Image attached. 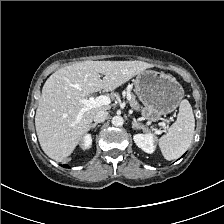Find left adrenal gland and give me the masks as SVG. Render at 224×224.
<instances>
[{
	"label": "left adrenal gland",
	"instance_id": "a2214340",
	"mask_svg": "<svg viewBox=\"0 0 224 224\" xmlns=\"http://www.w3.org/2000/svg\"><path fill=\"white\" fill-rule=\"evenodd\" d=\"M132 128L133 129H142L143 131H148L149 130L144 125L138 123L135 119H133V121H132Z\"/></svg>",
	"mask_w": 224,
	"mask_h": 224
}]
</instances>
